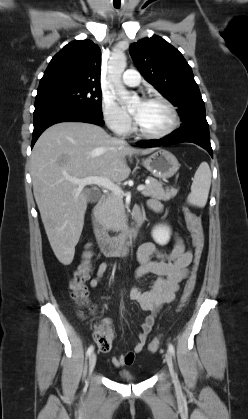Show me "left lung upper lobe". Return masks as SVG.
<instances>
[{"instance_id": "5c2ea615", "label": "left lung upper lobe", "mask_w": 248, "mask_h": 419, "mask_svg": "<svg viewBox=\"0 0 248 419\" xmlns=\"http://www.w3.org/2000/svg\"><path fill=\"white\" fill-rule=\"evenodd\" d=\"M129 51L145 80L178 106L183 123L196 116H206L192 69L176 48L154 35L131 44Z\"/></svg>"}]
</instances>
